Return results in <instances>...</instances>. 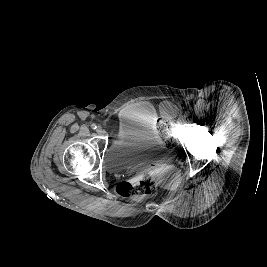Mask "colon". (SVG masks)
Segmentation results:
<instances>
[{
    "label": "colon",
    "instance_id": "obj_1",
    "mask_svg": "<svg viewBox=\"0 0 267 267\" xmlns=\"http://www.w3.org/2000/svg\"><path fill=\"white\" fill-rule=\"evenodd\" d=\"M158 182L155 177L146 171L133 184L129 182H122L118 186V193L123 197L154 195L158 192Z\"/></svg>",
    "mask_w": 267,
    "mask_h": 267
}]
</instances>
